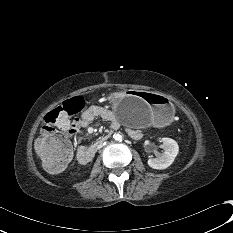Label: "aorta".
<instances>
[{
  "instance_id": "aorta-1",
  "label": "aorta",
  "mask_w": 233,
  "mask_h": 233,
  "mask_svg": "<svg viewBox=\"0 0 233 233\" xmlns=\"http://www.w3.org/2000/svg\"><path fill=\"white\" fill-rule=\"evenodd\" d=\"M113 138H114L115 141H121L122 140V135L119 134V133H115L113 135Z\"/></svg>"
}]
</instances>
